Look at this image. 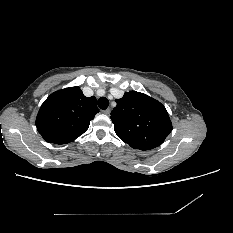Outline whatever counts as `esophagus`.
Listing matches in <instances>:
<instances>
[{
    "mask_svg": "<svg viewBox=\"0 0 233 233\" xmlns=\"http://www.w3.org/2000/svg\"><path fill=\"white\" fill-rule=\"evenodd\" d=\"M104 114L109 115L111 113L110 108L102 111Z\"/></svg>",
    "mask_w": 233,
    "mask_h": 233,
    "instance_id": "34e87169",
    "label": "esophagus"
}]
</instances>
